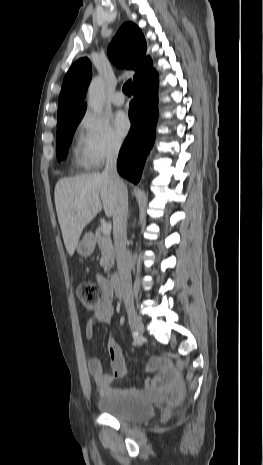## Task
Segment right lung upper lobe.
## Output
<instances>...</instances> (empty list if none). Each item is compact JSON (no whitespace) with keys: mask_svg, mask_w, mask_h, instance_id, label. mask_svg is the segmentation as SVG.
I'll use <instances>...</instances> for the list:
<instances>
[{"mask_svg":"<svg viewBox=\"0 0 263 465\" xmlns=\"http://www.w3.org/2000/svg\"><path fill=\"white\" fill-rule=\"evenodd\" d=\"M146 49L141 30L134 23L126 22L109 45L108 55L120 67L135 70L134 85L155 71L150 57L145 56ZM91 76V63L87 58H81L71 66L65 75L59 96L58 122L75 112L86 110L87 105L82 100Z\"/></svg>","mask_w":263,"mask_h":465,"instance_id":"right-lung-upper-lobe-1","label":"right lung upper lobe"}]
</instances>
